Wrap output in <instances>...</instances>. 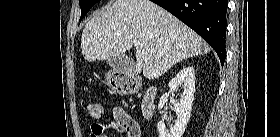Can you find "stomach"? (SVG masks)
Masks as SVG:
<instances>
[{
  "label": "stomach",
  "instance_id": "0dacf381",
  "mask_svg": "<svg viewBox=\"0 0 280 137\" xmlns=\"http://www.w3.org/2000/svg\"><path fill=\"white\" fill-rule=\"evenodd\" d=\"M108 84L114 91H117L120 93H125L127 90L125 87V84H123L121 82H116V81H112L109 79Z\"/></svg>",
  "mask_w": 280,
  "mask_h": 137
}]
</instances>
